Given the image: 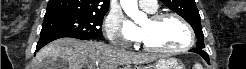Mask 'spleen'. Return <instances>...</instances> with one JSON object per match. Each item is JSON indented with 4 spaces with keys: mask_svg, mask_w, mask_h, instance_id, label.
Wrapping results in <instances>:
<instances>
[{
    "mask_svg": "<svg viewBox=\"0 0 246 69\" xmlns=\"http://www.w3.org/2000/svg\"><path fill=\"white\" fill-rule=\"evenodd\" d=\"M194 69H203V67H202L201 64L196 63V64L194 65Z\"/></svg>",
    "mask_w": 246,
    "mask_h": 69,
    "instance_id": "1",
    "label": "spleen"
}]
</instances>
